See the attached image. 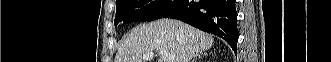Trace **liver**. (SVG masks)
Here are the masks:
<instances>
[{"label":"liver","mask_w":331,"mask_h":62,"mask_svg":"<svg viewBox=\"0 0 331 62\" xmlns=\"http://www.w3.org/2000/svg\"><path fill=\"white\" fill-rule=\"evenodd\" d=\"M213 44L212 35L177 20L160 19L133 28L114 62H145L143 55L155 50H166L175 56V62H190Z\"/></svg>","instance_id":"liver-1"}]
</instances>
